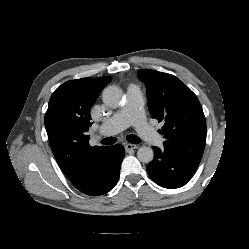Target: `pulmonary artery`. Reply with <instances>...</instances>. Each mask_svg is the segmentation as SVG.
Masks as SVG:
<instances>
[{"label": "pulmonary artery", "mask_w": 249, "mask_h": 249, "mask_svg": "<svg viewBox=\"0 0 249 249\" xmlns=\"http://www.w3.org/2000/svg\"><path fill=\"white\" fill-rule=\"evenodd\" d=\"M143 105L144 100L140 87L130 85L126 91L124 105L111 118L101 124L99 135H114L128 126H134L147 143L155 146L161 145L162 137L145 120Z\"/></svg>", "instance_id": "pulmonary-artery-1"}]
</instances>
